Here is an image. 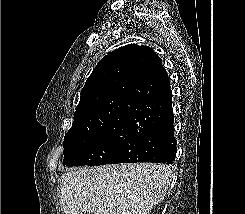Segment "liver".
<instances>
[{"label":"liver","instance_id":"obj_1","mask_svg":"<svg viewBox=\"0 0 245 214\" xmlns=\"http://www.w3.org/2000/svg\"><path fill=\"white\" fill-rule=\"evenodd\" d=\"M172 177L162 164L82 167L62 175L59 201L65 214H150Z\"/></svg>","mask_w":245,"mask_h":214}]
</instances>
